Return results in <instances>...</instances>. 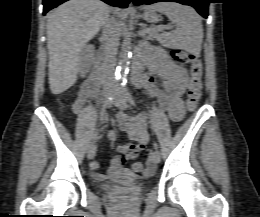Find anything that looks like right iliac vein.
Here are the masks:
<instances>
[{"label":"right iliac vein","mask_w":260,"mask_h":217,"mask_svg":"<svg viewBox=\"0 0 260 217\" xmlns=\"http://www.w3.org/2000/svg\"><path fill=\"white\" fill-rule=\"evenodd\" d=\"M110 96H111L110 94H106L105 100L108 99ZM94 155H95V145L91 144L87 151V157L89 160H91V159H93Z\"/></svg>","instance_id":"right-iliac-vein-1"}]
</instances>
